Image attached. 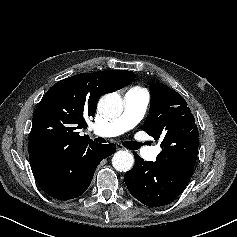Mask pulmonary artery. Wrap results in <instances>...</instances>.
I'll list each match as a JSON object with an SVG mask.
<instances>
[{
  "label": "pulmonary artery",
  "instance_id": "1",
  "mask_svg": "<svg viewBox=\"0 0 237 237\" xmlns=\"http://www.w3.org/2000/svg\"><path fill=\"white\" fill-rule=\"evenodd\" d=\"M149 102L150 98L146 92L135 88L129 90L124 97L122 114L106 125L94 127V134L103 137H113L132 129L143 118ZM159 151V147H146L141 151V155L151 160L155 159Z\"/></svg>",
  "mask_w": 237,
  "mask_h": 237
}]
</instances>
